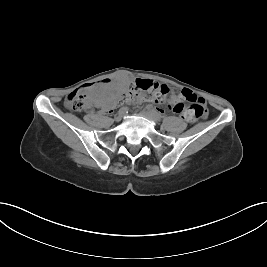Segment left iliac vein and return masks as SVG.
Wrapping results in <instances>:
<instances>
[{"label":"left iliac vein","mask_w":267,"mask_h":267,"mask_svg":"<svg viewBox=\"0 0 267 267\" xmlns=\"http://www.w3.org/2000/svg\"><path fill=\"white\" fill-rule=\"evenodd\" d=\"M141 116L145 117L146 119L150 121L157 122V120L147 111H142Z\"/></svg>","instance_id":"1"}]
</instances>
